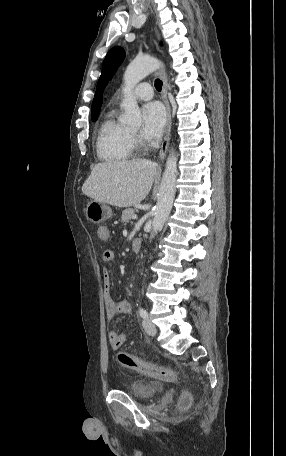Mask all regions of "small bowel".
<instances>
[{
	"label": "small bowel",
	"instance_id": "1",
	"mask_svg": "<svg viewBox=\"0 0 286 456\" xmlns=\"http://www.w3.org/2000/svg\"><path fill=\"white\" fill-rule=\"evenodd\" d=\"M98 237L102 240H108L110 237V230L107 226H100L97 230ZM115 258L113 250H106L102 255L103 264L112 262ZM103 288V301L105 307V313L108 320L113 319L117 314H129L132 311L131 303L128 300H122L115 302L111 295L112 282L111 277L107 269H104L102 278ZM109 342L114 349L120 348L125 342L126 335L124 333H118L117 331L109 332Z\"/></svg>",
	"mask_w": 286,
	"mask_h": 456
}]
</instances>
